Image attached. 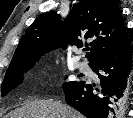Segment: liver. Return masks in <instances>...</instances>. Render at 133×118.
<instances>
[{"mask_svg": "<svg viewBox=\"0 0 133 118\" xmlns=\"http://www.w3.org/2000/svg\"><path fill=\"white\" fill-rule=\"evenodd\" d=\"M6 118H84L73 108L52 100H35L9 113Z\"/></svg>", "mask_w": 133, "mask_h": 118, "instance_id": "6515ba94", "label": "liver"}]
</instances>
